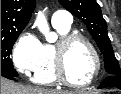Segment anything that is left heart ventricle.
<instances>
[{
    "label": "left heart ventricle",
    "mask_w": 121,
    "mask_h": 94,
    "mask_svg": "<svg viewBox=\"0 0 121 94\" xmlns=\"http://www.w3.org/2000/svg\"><path fill=\"white\" fill-rule=\"evenodd\" d=\"M66 69L75 83L87 82L95 72V61L89 48L81 41L73 43L66 55Z\"/></svg>",
    "instance_id": "left-heart-ventricle-1"
}]
</instances>
